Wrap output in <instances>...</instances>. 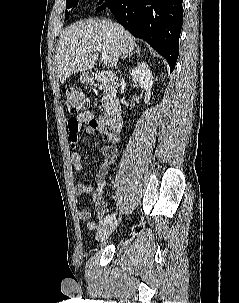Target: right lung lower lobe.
Masks as SVG:
<instances>
[{
	"label": "right lung lower lobe",
	"mask_w": 239,
	"mask_h": 303,
	"mask_svg": "<svg viewBox=\"0 0 239 303\" xmlns=\"http://www.w3.org/2000/svg\"><path fill=\"white\" fill-rule=\"evenodd\" d=\"M183 0H105L116 20L132 35L149 43L175 68L183 21Z\"/></svg>",
	"instance_id": "right-lung-lower-lobe-1"
}]
</instances>
